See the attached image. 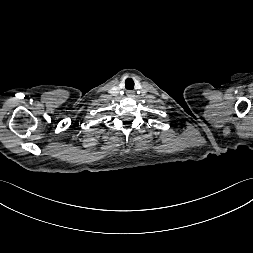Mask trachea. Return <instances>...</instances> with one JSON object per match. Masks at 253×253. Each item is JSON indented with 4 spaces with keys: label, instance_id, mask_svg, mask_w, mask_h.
Instances as JSON below:
<instances>
[{
    "label": "trachea",
    "instance_id": "1",
    "mask_svg": "<svg viewBox=\"0 0 253 253\" xmlns=\"http://www.w3.org/2000/svg\"><path fill=\"white\" fill-rule=\"evenodd\" d=\"M125 88L127 90H133V88H134V81H133L132 78H127L125 80Z\"/></svg>",
    "mask_w": 253,
    "mask_h": 253
}]
</instances>
